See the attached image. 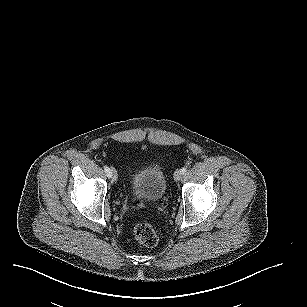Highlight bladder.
Listing matches in <instances>:
<instances>
[{"mask_svg":"<svg viewBox=\"0 0 307 307\" xmlns=\"http://www.w3.org/2000/svg\"><path fill=\"white\" fill-rule=\"evenodd\" d=\"M130 182L132 192L139 199L160 201L165 196L166 174L160 166L151 165L147 170L135 169Z\"/></svg>","mask_w":307,"mask_h":307,"instance_id":"31cf9c89","label":"bladder"}]
</instances>
